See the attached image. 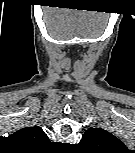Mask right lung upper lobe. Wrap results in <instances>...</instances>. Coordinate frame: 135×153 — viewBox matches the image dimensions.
<instances>
[{"label": "right lung upper lobe", "mask_w": 135, "mask_h": 153, "mask_svg": "<svg viewBox=\"0 0 135 153\" xmlns=\"http://www.w3.org/2000/svg\"><path fill=\"white\" fill-rule=\"evenodd\" d=\"M15 135L29 142L41 143L48 140L46 134L38 126L23 128L17 131Z\"/></svg>", "instance_id": "right-lung-upper-lobe-1"}]
</instances>
